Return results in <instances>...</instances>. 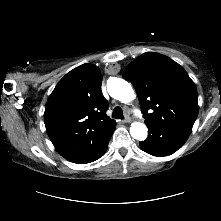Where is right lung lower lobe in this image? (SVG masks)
Segmentation results:
<instances>
[{
	"mask_svg": "<svg viewBox=\"0 0 221 221\" xmlns=\"http://www.w3.org/2000/svg\"><path fill=\"white\" fill-rule=\"evenodd\" d=\"M113 132L114 130L108 135H106L104 138H102L91 151H89L87 154L76 160L75 163L85 164L93 162L100 158L105 153Z\"/></svg>",
	"mask_w": 221,
	"mask_h": 221,
	"instance_id": "1",
	"label": "right lung lower lobe"
}]
</instances>
